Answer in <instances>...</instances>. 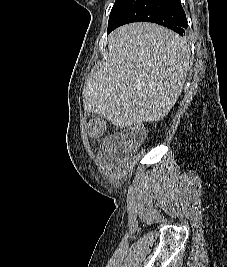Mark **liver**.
Returning <instances> with one entry per match:
<instances>
[{"label": "liver", "mask_w": 227, "mask_h": 267, "mask_svg": "<svg viewBox=\"0 0 227 267\" xmlns=\"http://www.w3.org/2000/svg\"><path fill=\"white\" fill-rule=\"evenodd\" d=\"M108 59L88 77L84 109L119 128L163 119L189 70L186 40L162 26L133 23L111 33Z\"/></svg>", "instance_id": "obj_1"}]
</instances>
